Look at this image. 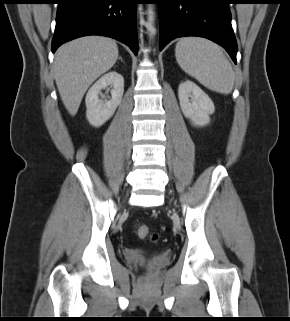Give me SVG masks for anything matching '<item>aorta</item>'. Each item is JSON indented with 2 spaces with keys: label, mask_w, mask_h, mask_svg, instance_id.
Segmentation results:
<instances>
[{
  "label": "aorta",
  "mask_w": 290,
  "mask_h": 321,
  "mask_svg": "<svg viewBox=\"0 0 290 321\" xmlns=\"http://www.w3.org/2000/svg\"><path fill=\"white\" fill-rule=\"evenodd\" d=\"M147 12H148L147 29H148L150 38H152L154 34V21H155V12H154L153 4H149Z\"/></svg>",
  "instance_id": "1"
}]
</instances>
